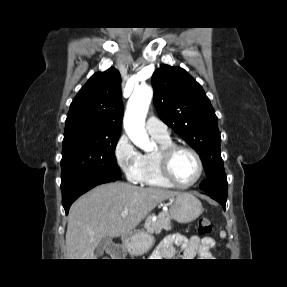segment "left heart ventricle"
<instances>
[{
    "label": "left heart ventricle",
    "instance_id": "1",
    "mask_svg": "<svg viewBox=\"0 0 287 287\" xmlns=\"http://www.w3.org/2000/svg\"><path fill=\"white\" fill-rule=\"evenodd\" d=\"M172 171L181 183L192 182L198 174V163L188 151H178L172 159Z\"/></svg>",
    "mask_w": 287,
    "mask_h": 287
}]
</instances>
